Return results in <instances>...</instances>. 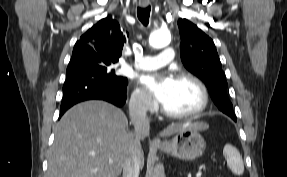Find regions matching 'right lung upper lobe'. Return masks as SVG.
I'll return each instance as SVG.
<instances>
[{
  "mask_svg": "<svg viewBox=\"0 0 287 177\" xmlns=\"http://www.w3.org/2000/svg\"><path fill=\"white\" fill-rule=\"evenodd\" d=\"M124 43H126V36L119 23L106 17L80 37L74 46L70 62L102 59L117 63Z\"/></svg>",
  "mask_w": 287,
  "mask_h": 177,
  "instance_id": "obj_1",
  "label": "right lung upper lobe"
}]
</instances>
